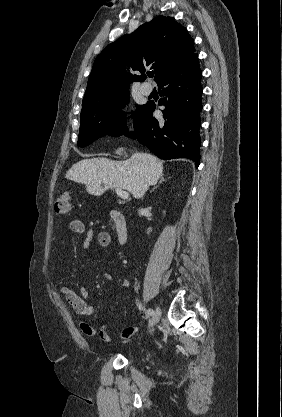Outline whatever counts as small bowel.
<instances>
[{
  "mask_svg": "<svg viewBox=\"0 0 282 417\" xmlns=\"http://www.w3.org/2000/svg\"><path fill=\"white\" fill-rule=\"evenodd\" d=\"M69 228L71 232H73L74 234L81 235L86 232L88 233L83 243V248L87 249L93 240L92 229L87 230L85 223L79 219L72 220L69 224ZM96 242L101 248L106 249L109 247L111 243L110 235L107 232L102 231L97 235ZM120 286L125 289H128L130 286L129 280L128 279L121 280ZM62 293L64 294V297L67 303L73 308V310L75 311L77 315L82 316V317H90L95 313V307L87 304L86 302V299L88 297V290L86 287H81L79 290V293H76L74 290H72L69 287H64L62 289ZM80 330L82 331L84 335L88 337H93L97 334V331L95 330V328H93L91 325H89L86 322L80 323ZM134 331H135V328L126 327L125 329L122 330L121 337L128 338L134 333ZM99 336L104 342H110L112 340L105 326H103L100 329Z\"/></svg>",
  "mask_w": 282,
  "mask_h": 417,
  "instance_id": "small-bowel-1",
  "label": "small bowel"
}]
</instances>
